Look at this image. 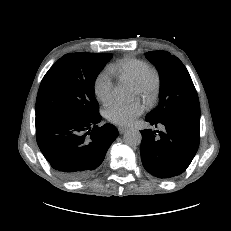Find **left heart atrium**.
Here are the masks:
<instances>
[{
  "mask_svg": "<svg viewBox=\"0 0 231 231\" xmlns=\"http://www.w3.org/2000/svg\"><path fill=\"white\" fill-rule=\"evenodd\" d=\"M144 111V105L140 101L132 103L112 102L106 108L107 119L117 125H131Z\"/></svg>",
  "mask_w": 231,
  "mask_h": 231,
  "instance_id": "39dd6f15",
  "label": "left heart atrium"
}]
</instances>
